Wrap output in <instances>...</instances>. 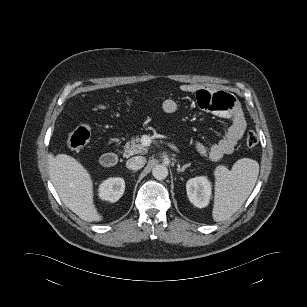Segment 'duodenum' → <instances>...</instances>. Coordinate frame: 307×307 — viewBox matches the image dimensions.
Here are the masks:
<instances>
[{
    "mask_svg": "<svg viewBox=\"0 0 307 307\" xmlns=\"http://www.w3.org/2000/svg\"><path fill=\"white\" fill-rule=\"evenodd\" d=\"M118 162V155L114 152H107L101 156V164L105 168H112Z\"/></svg>",
    "mask_w": 307,
    "mask_h": 307,
    "instance_id": "410a0bca",
    "label": "duodenum"
}]
</instances>
